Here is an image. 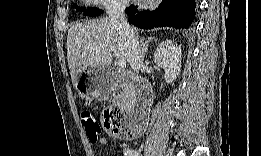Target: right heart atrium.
Masks as SVG:
<instances>
[{
	"mask_svg": "<svg viewBox=\"0 0 261 156\" xmlns=\"http://www.w3.org/2000/svg\"><path fill=\"white\" fill-rule=\"evenodd\" d=\"M98 4H103L104 6L106 7H113V6H116L118 5L117 3H114V2H109V1H105V2H98Z\"/></svg>",
	"mask_w": 261,
	"mask_h": 156,
	"instance_id": "obj_1",
	"label": "right heart atrium"
}]
</instances>
